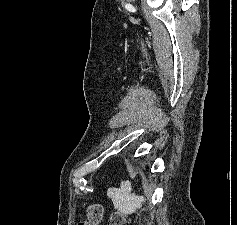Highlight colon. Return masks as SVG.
Returning <instances> with one entry per match:
<instances>
[{
    "mask_svg": "<svg viewBox=\"0 0 237 225\" xmlns=\"http://www.w3.org/2000/svg\"><path fill=\"white\" fill-rule=\"evenodd\" d=\"M103 217V208L100 204H92L87 209L86 220L80 221L78 225H99ZM107 225H132V220L122 213H113Z\"/></svg>",
    "mask_w": 237,
    "mask_h": 225,
    "instance_id": "colon-1",
    "label": "colon"
}]
</instances>
